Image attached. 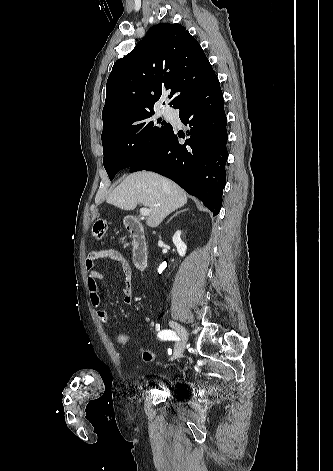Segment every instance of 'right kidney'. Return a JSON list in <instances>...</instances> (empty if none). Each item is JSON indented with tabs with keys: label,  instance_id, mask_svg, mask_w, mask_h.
I'll list each match as a JSON object with an SVG mask.
<instances>
[{
	"label": "right kidney",
	"instance_id": "right-kidney-1",
	"mask_svg": "<svg viewBox=\"0 0 333 471\" xmlns=\"http://www.w3.org/2000/svg\"><path fill=\"white\" fill-rule=\"evenodd\" d=\"M173 243L177 248V251L181 257L185 256L186 254V249L187 246L186 244L181 240V231H177L174 236H173Z\"/></svg>",
	"mask_w": 333,
	"mask_h": 471
}]
</instances>
